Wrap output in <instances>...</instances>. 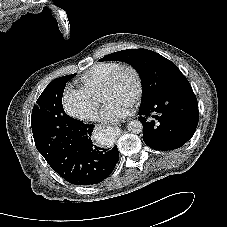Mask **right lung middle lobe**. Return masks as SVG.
Returning a JSON list of instances; mask_svg holds the SVG:
<instances>
[{
    "mask_svg": "<svg viewBox=\"0 0 227 227\" xmlns=\"http://www.w3.org/2000/svg\"><path fill=\"white\" fill-rule=\"evenodd\" d=\"M75 74L57 78L44 89L31 115L32 133L37 150L45 158L53 150L62 138L64 127L72 121L62 106V96L66 83Z\"/></svg>",
    "mask_w": 227,
    "mask_h": 227,
    "instance_id": "obj_1",
    "label": "right lung middle lobe"
}]
</instances>
